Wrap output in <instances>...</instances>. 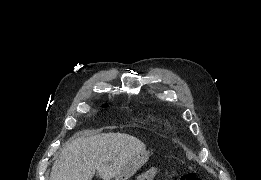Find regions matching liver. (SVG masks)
Wrapping results in <instances>:
<instances>
[{"label": "liver", "instance_id": "1", "mask_svg": "<svg viewBox=\"0 0 261 180\" xmlns=\"http://www.w3.org/2000/svg\"><path fill=\"white\" fill-rule=\"evenodd\" d=\"M145 150V144L129 134H97L87 132L71 138L55 160L50 180H92L98 174L111 180L130 160Z\"/></svg>", "mask_w": 261, "mask_h": 180}]
</instances>
